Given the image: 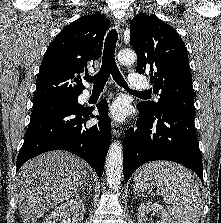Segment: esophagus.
<instances>
[{"mask_svg": "<svg viewBox=\"0 0 221 223\" xmlns=\"http://www.w3.org/2000/svg\"><path fill=\"white\" fill-rule=\"evenodd\" d=\"M114 25L118 32L117 45L118 47H121L123 42V32H124L125 22L123 19H114ZM112 131L116 137H119L122 133L121 125L116 121H112Z\"/></svg>", "mask_w": 221, "mask_h": 223, "instance_id": "34e87169", "label": "esophagus"}]
</instances>
